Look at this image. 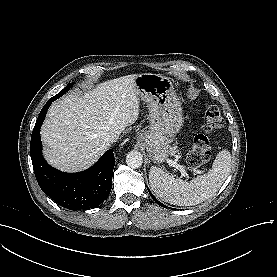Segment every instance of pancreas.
<instances>
[{
	"mask_svg": "<svg viewBox=\"0 0 277 277\" xmlns=\"http://www.w3.org/2000/svg\"><path fill=\"white\" fill-rule=\"evenodd\" d=\"M170 152H171V154L177 153L178 152L177 146L174 145V146L170 147Z\"/></svg>",
	"mask_w": 277,
	"mask_h": 277,
	"instance_id": "cf45deb5",
	"label": "pancreas"
}]
</instances>
